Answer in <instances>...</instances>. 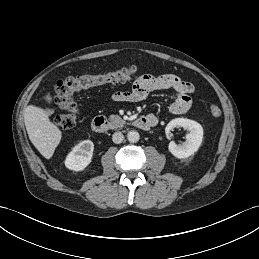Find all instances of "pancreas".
<instances>
[{"instance_id":"1","label":"pancreas","mask_w":259,"mask_h":259,"mask_svg":"<svg viewBox=\"0 0 259 259\" xmlns=\"http://www.w3.org/2000/svg\"><path fill=\"white\" fill-rule=\"evenodd\" d=\"M109 120L112 129L123 128L126 123L120 116L114 114L110 115Z\"/></svg>"}]
</instances>
